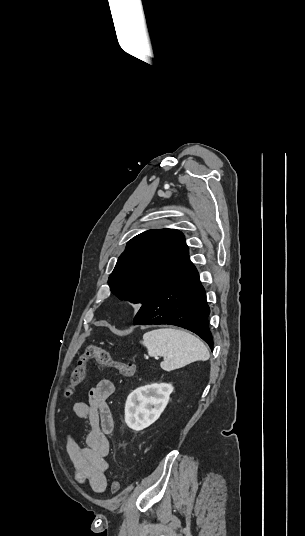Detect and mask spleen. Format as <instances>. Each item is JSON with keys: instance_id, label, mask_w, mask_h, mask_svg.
I'll return each mask as SVG.
<instances>
[{"instance_id": "3e777b00", "label": "spleen", "mask_w": 305, "mask_h": 536, "mask_svg": "<svg viewBox=\"0 0 305 536\" xmlns=\"http://www.w3.org/2000/svg\"><path fill=\"white\" fill-rule=\"evenodd\" d=\"M141 344L147 348L148 356H163L164 362L160 366L165 372L178 370L197 360L205 362L210 356L203 342L185 330H152L144 334Z\"/></svg>"}]
</instances>
